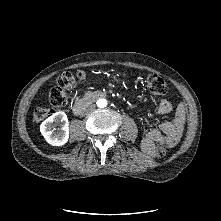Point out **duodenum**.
<instances>
[{"label":"duodenum","instance_id":"obj_1","mask_svg":"<svg viewBox=\"0 0 221 221\" xmlns=\"http://www.w3.org/2000/svg\"><path fill=\"white\" fill-rule=\"evenodd\" d=\"M106 97V94L103 92H93L84 98L78 100L72 107V111L75 115L82 113L90 104L96 101L99 98Z\"/></svg>","mask_w":221,"mask_h":221}]
</instances>
